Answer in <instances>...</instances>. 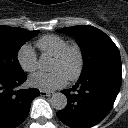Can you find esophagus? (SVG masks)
<instances>
[{
  "label": "esophagus",
  "mask_w": 128,
  "mask_h": 128,
  "mask_svg": "<svg viewBox=\"0 0 128 128\" xmlns=\"http://www.w3.org/2000/svg\"><path fill=\"white\" fill-rule=\"evenodd\" d=\"M40 95L41 96H48L49 97V96L52 95V92L40 90Z\"/></svg>",
  "instance_id": "esophagus-1"
}]
</instances>
